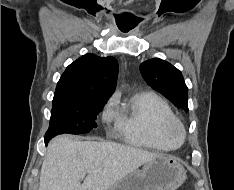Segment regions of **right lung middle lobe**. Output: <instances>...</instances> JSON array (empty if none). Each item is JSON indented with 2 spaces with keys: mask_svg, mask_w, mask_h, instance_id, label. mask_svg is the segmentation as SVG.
I'll use <instances>...</instances> for the list:
<instances>
[{
  "mask_svg": "<svg viewBox=\"0 0 234 190\" xmlns=\"http://www.w3.org/2000/svg\"><path fill=\"white\" fill-rule=\"evenodd\" d=\"M105 103L106 100L55 93L45 139L64 133H88L96 127V117Z\"/></svg>",
  "mask_w": 234,
  "mask_h": 190,
  "instance_id": "1",
  "label": "right lung middle lobe"
}]
</instances>
